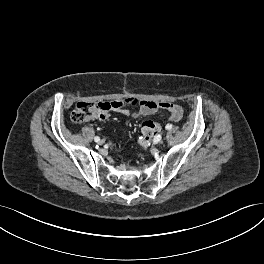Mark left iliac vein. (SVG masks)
Wrapping results in <instances>:
<instances>
[{
    "label": "left iliac vein",
    "mask_w": 264,
    "mask_h": 264,
    "mask_svg": "<svg viewBox=\"0 0 264 264\" xmlns=\"http://www.w3.org/2000/svg\"><path fill=\"white\" fill-rule=\"evenodd\" d=\"M159 143L162 145V144L165 143V140L164 139H161Z\"/></svg>",
    "instance_id": "obj_1"
}]
</instances>
